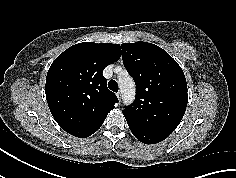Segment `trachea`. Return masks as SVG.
I'll list each match as a JSON object with an SVG mask.
<instances>
[{
  "mask_svg": "<svg viewBox=\"0 0 236 178\" xmlns=\"http://www.w3.org/2000/svg\"><path fill=\"white\" fill-rule=\"evenodd\" d=\"M108 88L113 92H118V83L115 80H110L108 82Z\"/></svg>",
  "mask_w": 236,
  "mask_h": 178,
  "instance_id": "1",
  "label": "trachea"
}]
</instances>
